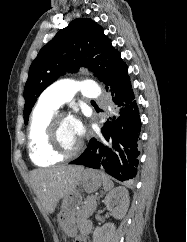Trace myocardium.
<instances>
[{"label":"myocardium","instance_id":"f54148a6","mask_svg":"<svg viewBox=\"0 0 187 242\" xmlns=\"http://www.w3.org/2000/svg\"><path fill=\"white\" fill-rule=\"evenodd\" d=\"M64 119H70V117L64 112H55L52 115L45 130V142L50 153L62 159H67L80 152L82 149V141L79 140L77 146L70 151H64L58 146L56 130L59 122Z\"/></svg>","mask_w":187,"mask_h":242}]
</instances>
